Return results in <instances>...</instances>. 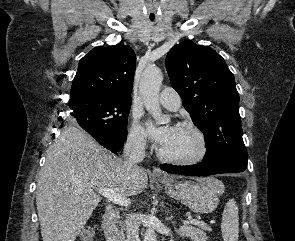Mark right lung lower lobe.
<instances>
[{"instance_id": "98d812e1", "label": "right lung lower lobe", "mask_w": 295, "mask_h": 241, "mask_svg": "<svg viewBox=\"0 0 295 241\" xmlns=\"http://www.w3.org/2000/svg\"><path fill=\"white\" fill-rule=\"evenodd\" d=\"M98 143H100L105 148L109 149L110 151L116 153L119 150L122 149L124 141L123 140H114L111 138H108L104 135L98 134V133H89Z\"/></svg>"}]
</instances>
